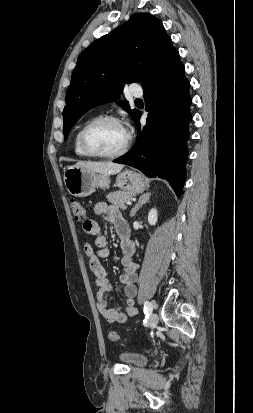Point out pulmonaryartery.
<instances>
[{
	"label": "pulmonary artery",
	"instance_id": "1",
	"mask_svg": "<svg viewBox=\"0 0 253 413\" xmlns=\"http://www.w3.org/2000/svg\"><path fill=\"white\" fill-rule=\"evenodd\" d=\"M130 93L134 97H141L143 94V91L139 86H132L130 89Z\"/></svg>",
	"mask_w": 253,
	"mask_h": 413
}]
</instances>
